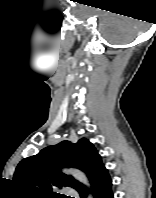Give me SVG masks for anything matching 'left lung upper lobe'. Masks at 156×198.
<instances>
[{
	"label": "left lung upper lobe",
	"instance_id": "1",
	"mask_svg": "<svg viewBox=\"0 0 156 198\" xmlns=\"http://www.w3.org/2000/svg\"><path fill=\"white\" fill-rule=\"evenodd\" d=\"M63 166L83 170L91 184L107 169L94 145L86 138L76 144L62 141L42 149L37 155L23 159L17 166L13 180L26 195L33 198H59L54 190L70 186L78 192L86 189L72 176L61 172Z\"/></svg>",
	"mask_w": 156,
	"mask_h": 198
}]
</instances>
